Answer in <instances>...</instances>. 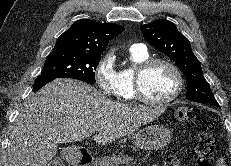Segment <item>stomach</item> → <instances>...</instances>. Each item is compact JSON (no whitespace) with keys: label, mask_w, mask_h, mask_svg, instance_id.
Wrapping results in <instances>:
<instances>
[{"label":"stomach","mask_w":231,"mask_h":166,"mask_svg":"<svg viewBox=\"0 0 231 166\" xmlns=\"http://www.w3.org/2000/svg\"><path fill=\"white\" fill-rule=\"evenodd\" d=\"M131 139L134 146L139 149L158 150L170 143L172 133L164 125H151L133 133Z\"/></svg>","instance_id":"0dacf381"}]
</instances>
